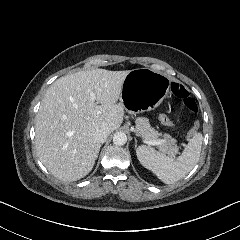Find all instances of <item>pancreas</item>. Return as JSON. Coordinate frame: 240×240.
<instances>
[{"label":"pancreas","mask_w":240,"mask_h":240,"mask_svg":"<svg viewBox=\"0 0 240 240\" xmlns=\"http://www.w3.org/2000/svg\"><path fill=\"white\" fill-rule=\"evenodd\" d=\"M135 123H136L135 129L136 135L142 137L147 141L157 140V138L160 135H162L153 127H151L148 118L138 117ZM176 142H177L176 139L172 138L170 135L165 134V139L158 146V149L163 153H166L170 156H174L175 154L178 153V146Z\"/></svg>","instance_id":"1"}]
</instances>
